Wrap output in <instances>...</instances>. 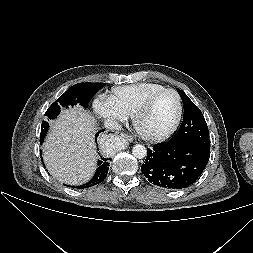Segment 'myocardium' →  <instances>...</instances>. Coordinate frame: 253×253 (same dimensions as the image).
I'll list each match as a JSON object with an SVG mask.
<instances>
[{"instance_id": "obj_1", "label": "myocardium", "mask_w": 253, "mask_h": 253, "mask_svg": "<svg viewBox=\"0 0 253 253\" xmlns=\"http://www.w3.org/2000/svg\"><path fill=\"white\" fill-rule=\"evenodd\" d=\"M164 93H172L175 96L176 103H177L176 117H175L174 121L172 122V124L169 126V128L167 130H165L164 132L157 134V135L146 134V133L142 132L141 129L139 128V121H140L141 117L149 110V108L151 107L153 102L159 96L163 95ZM182 114H183V106H182L181 97L178 94V92L172 88H163V89L151 94L150 96H148L141 103V105L138 107V109L135 111V113L132 117V123H133L135 130L138 132V134L140 136H142L146 140L156 142V141H161V140L168 138L177 129V127L181 121Z\"/></svg>"}]
</instances>
